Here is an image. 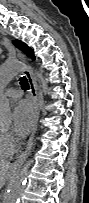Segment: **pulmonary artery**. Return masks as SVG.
Wrapping results in <instances>:
<instances>
[{
	"mask_svg": "<svg viewBox=\"0 0 89 203\" xmlns=\"http://www.w3.org/2000/svg\"><path fill=\"white\" fill-rule=\"evenodd\" d=\"M6 96L12 99H17L22 96V92L15 88H9L5 92Z\"/></svg>",
	"mask_w": 89,
	"mask_h": 203,
	"instance_id": "e3ab8cb5",
	"label": "pulmonary artery"
}]
</instances>
